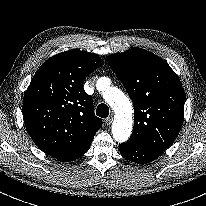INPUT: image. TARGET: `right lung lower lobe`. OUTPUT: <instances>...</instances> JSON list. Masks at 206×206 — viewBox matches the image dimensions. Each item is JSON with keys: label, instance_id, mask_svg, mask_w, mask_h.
<instances>
[{"label": "right lung lower lobe", "instance_id": "right-lung-lower-lobe-1", "mask_svg": "<svg viewBox=\"0 0 206 206\" xmlns=\"http://www.w3.org/2000/svg\"><path fill=\"white\" fill-rule=\"evenodd\" d=\"M90 148V145L88 147H86L85 149H83L82 151L74 154V155H70L68 157H65L64 159L60 160L62 162H69V161H73V160H76L78 159L79 157H81L82 155H84L88 149Z\"/></svg>", "mask_w": 206, "mask_h": 206}]
</instances>
